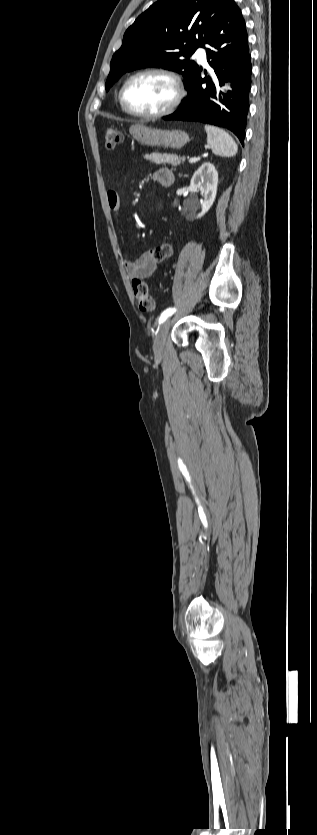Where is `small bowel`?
I'll return each instance as SVG.
<instances>
[{"instance_id":"c3829d8e","label":"small bowel","mask_w":317,"mask_h":835,"mask_svg":"<svg viewBox=\"0 0 317 835\" xmlns=\"http://www.w3.org/2000/svg\"><path fill=\"white\" fill-rule=\"evenodd\" d=\"M153 179L161 186H170L175 181V174L169 168H159L153 174ZM107 205L110 211L116 213L120 209V198L115 190H108L106 193ZM124 267L130 279L150 278L158 269V261L149 251L140 255L137 259H126Z\"/></svg>"}]
</instances>
